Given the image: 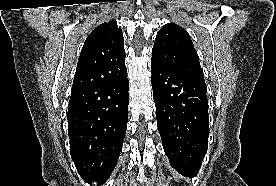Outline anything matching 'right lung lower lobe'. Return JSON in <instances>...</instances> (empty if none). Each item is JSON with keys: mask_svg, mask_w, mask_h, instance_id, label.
I'll use <instances>...</instances> for the list:
<instances>
[{"mask_svg": "<svg viewBox=\"0 0 276 186\" xmlns=\"http://www.w3.org/2000/svg\"><path fill=\"white\" fill-rule=\"evenodd\" d=\"M127 74L112 82L72 90L67 112L71 157L86 182H105L115 168L127 128Z\"/></svg>", "mask_w": 276, "mask_h": 186, "instance_id": "1", "label": "right lung lower lobe"}]
</instances>
